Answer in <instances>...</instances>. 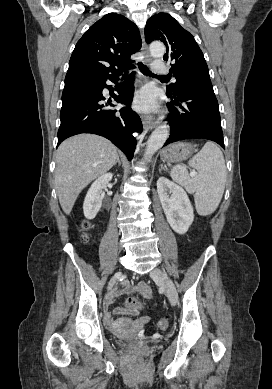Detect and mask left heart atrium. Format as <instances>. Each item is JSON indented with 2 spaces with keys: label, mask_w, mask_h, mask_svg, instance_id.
<instances>
[{
  "label": "left heart atrium",
  "mask_w": 272,
  "mask_h": 389,
  "mask_svg": "<svg viewBox=\"0 0 272 389\" xmlns=\"http://www.w3.org/2000/svg\"><path fill=\"white\" fill-rule=\"evenodd\" d=\"M135 107L142 111H152L156 108L154 92L145 88L139 91L134 101Z\"/></svg>",
  "instance_id": "39dd6f15"
}]
</instances>
